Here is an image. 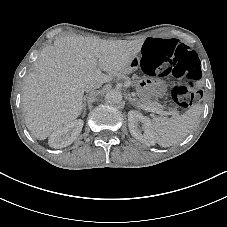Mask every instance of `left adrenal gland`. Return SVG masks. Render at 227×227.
Segmentation results:
<instances>
[{"label":"left adrenal gland","mask_w":227,"mask_h":227,"mask_svg":"<svg viewBox=\"0 0 227 227\" xmlns=\"http://www.w3.org/2000/svg\"><path fill=\"white\" fill-rule=\"evenodd\" d=\"M130 103H131L132 106L139 108V106L135 102H133L132 100H130Z\"/></svg>","instance_id":"a2214340"}]
</instances>
